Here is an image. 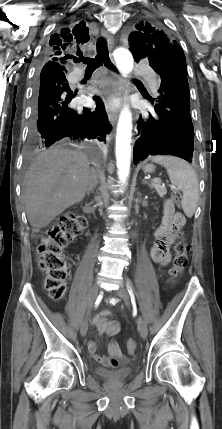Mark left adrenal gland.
Masks as SVG:
<instances>
[{"label": "left adrenal gland", "mask_w": 222, "mask_h": 429, "mask_svg": "<svg viewBox=\"0 0 222 429\" xmlns=\"http://www.w3.org/2000/svg\"><path fill=\"white\" fill-rule=\"evenodd\" d=\"M142 183L143 184H148L147 180H145V179L142 180Z\"/></svg>", "instance_id": "1"}]
</instances>
